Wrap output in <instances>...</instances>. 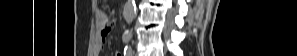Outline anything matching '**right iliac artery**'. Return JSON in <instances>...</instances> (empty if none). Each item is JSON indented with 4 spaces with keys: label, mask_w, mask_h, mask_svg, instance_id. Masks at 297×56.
Masks as SVG:
<instances>
[{
    "label": "right iliac artery",
    "mask_w": 297,
    "mask_h": 56,
    "mask_svg": "<svg viewBox=\"0 0 297 56\" xmlns=\"http://www.w3.org/2000/svg\"><path fill=\"white\" fill-rule=\"evenodd\" d=\"M131 36L128 33H124L122 36L123 42L127 43L130 40Z\"/></svg>",
    "instance_id": "1"
}]
</instances>
